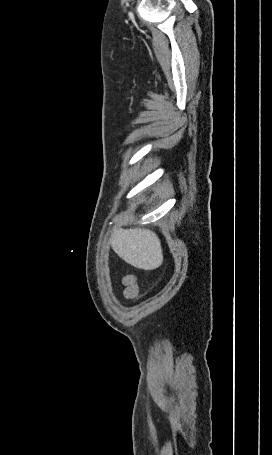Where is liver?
I'll return each mask as SVG.
<instances>
[{"label":"liver","mask_w":272,"mask_h":455,"mask_svg":"<svg viewBox=\"0 0 272 455\" xmlns=\"http://www.w3.org/2000/svg\"><path fill=\"white\" fill-rule=\"evenodd\" d=\"M115 253L128 264L142 270H154L163 262L161 243L151 230L142 228L115 230L110 238Z\"/></svg>","instance_id":"1"}]
</instances>
